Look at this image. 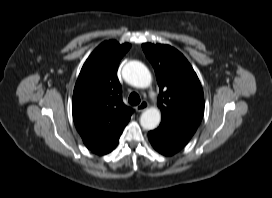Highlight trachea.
Listing matches in <instances>:
<instances>
[{
  "label": "trachea",
  "instance_id": "1",
  "mask_svg": "<svg viewBox=\"0 0 272 198\" xmlns=\"http://www.w3.org/2000/svg\"><path fill=\"white\" fill-rule=\"evenodd\" d=\"M128 102L133 106L138 105L140 103V96L133 92L129 95Z\"/></svg>",
  "mask_w": 272,
  "mask_h": 198
}]
</instances>
